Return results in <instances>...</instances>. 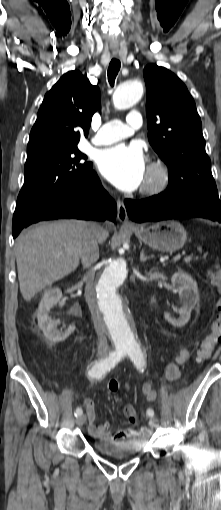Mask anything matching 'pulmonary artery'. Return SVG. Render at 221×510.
Returning a JSON list of instances; mask_svg holds the SVG:
<instances>
[{
  "label": "pulmonary artery",
  "mask_w": 221,
  "mask_h": 510,
  "mask_svg": "<svg viewBox=\"0 0 221 510\" xmlns=\"http://www.w3.org/2000/svg\"><path fill=\"white\" fill-rule=\"evenodd\" d=\"M140 126V114L137 111H132L129 113L126 123L113 120L103 124L92 137V141L100 146L110 145L130 137Z\"/></svg>",
  "instance_id": "e3ab8cb5"
}]
</instances>
